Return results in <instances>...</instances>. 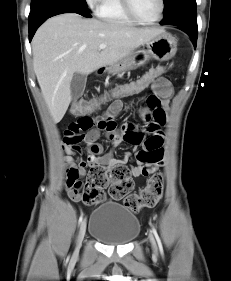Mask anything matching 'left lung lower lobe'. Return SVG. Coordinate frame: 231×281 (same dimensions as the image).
<instances>
[{
	"label": "left lung lower lobe",
	"mask_w": 231,
	"mask_h": 281,
	"mask_svg": "<svg viewBox=\"0 0 231 281\" xmlns=\"http://www.w3.org/2000/svg\"><path fill=\"white\" fill-rule=\"evenodd\" d=\"M161 25H176L182 28L191 38L196 47L198 27L196 16V5L179 7L164 17Z\"/></svg>",
	"instance_id": "1"
}]
</instances>
